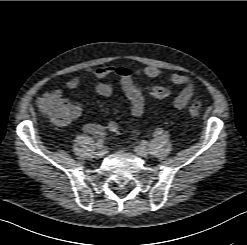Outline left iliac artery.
Returning a JSON list of instances; mask_svg holds the SVG:
<instances>
[{
    "mask_svg": "<svg viewBox=\"0 0 247 245\" xmlns=\"http://www.w3.org/2000/svg\"><path fill=\"white\" fill-rule=\"evenodd\" d=\"M162 133H163V129H162V128H157V129L154 131L153 135L157 137V136L162 135Z\"/></svg>",
    "mask_w": 247,
    "mask_h": 245,
    "instance_id": "1",
    "label": "left iliac artery"
}]
</instances>
